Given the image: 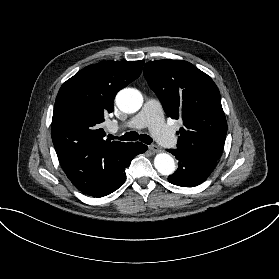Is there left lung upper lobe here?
Here are the masks:
<instances>
[{
	"label": "left lung upper lobe",
	"mask_w": 279,
	"mask_h": 279,
	"mask_svg": "<svg viewBox=\"0 0 279 279\" xmlns=\"http://www.w3.org/2000/svg\"><path fill=\"white\" fill-rule=\"evenodd\" d=\"M144 76L168 117L182 118L177 148L217 161L223 152L227 122L213 80L187 61H149Z\"/></svg>",
	"instance_id": "obj_1"
}]
</instances>
